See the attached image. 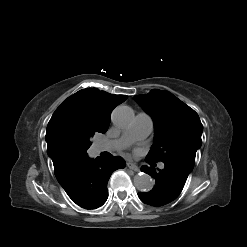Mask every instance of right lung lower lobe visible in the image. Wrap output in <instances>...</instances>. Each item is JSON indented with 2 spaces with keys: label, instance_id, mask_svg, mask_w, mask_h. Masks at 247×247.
Returning a JSON list of instances; mask_svg holds the SVG:
<instances>
[{
  "label": "right lung lower lobe",
  "instance_id": "obj_1",
  "mask_svg": "<svg viewBox=\"0 0 247 247\" xmlns=\"http://www.w3.org/2000/svg\"><path fill=\"white\" fill-rule=\"evenodd\" d=\"M125 166V161L117 156L111 160L97 157L65 162L54 169L58 182L77 205L96 209L108 198L107 183L113 171Z\"/></svg>",
  "mask_w": 247,
  "mask_h": 247
}]
</instances>
